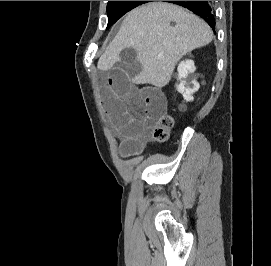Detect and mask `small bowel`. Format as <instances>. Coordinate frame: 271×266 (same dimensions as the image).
Returning <instances> with one entry per match:
<instances>
[{
	"instance_id": "c3829d8e",
	"label": "small bowel",
	"mask_w": 271,
	"mask_h": 266,
	"mask_svg": "<svg viewBox=\"0 0 271 266\" xmlns=\"http://www.w3.org/2000/svg\"><path fill=\"white\" fill-rule=\"evenodd\" d=\"M101 102L113 121L121 142V154L141 151L149 138L148 126L166 110L165 95L156 88L138 85L139 64L131 57L105 68ZM130 107L136 112L133 115Z\"/></svg>"
}]
</instances>
